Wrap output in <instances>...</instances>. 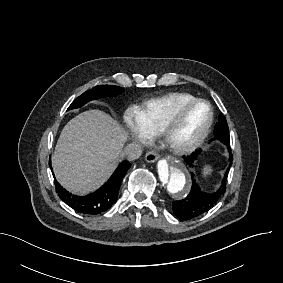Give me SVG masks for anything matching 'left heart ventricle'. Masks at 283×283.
I'll use <instances>...</instances> for the list:
<instances>
[{"mask_svg": "<svg viewBox=\"0 0 283 283\" xmlns=\"http://www.w3.org/2000/svg\"><path fill=\"white\" fill-rule=\"evenodd\" d=\"M166 116L171 143L175 146H184L189 144L205 125L208 109L203 104L186 109L170 105Z\"/></svg>", "mask_w": 283, "mask_h": 283, "instance_id": "left-heart-ventricle-1", "label": "left heart ventricle"}]
</instances>
